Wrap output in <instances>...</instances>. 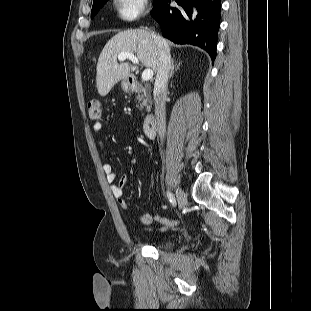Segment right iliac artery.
I'll return each instance as SVG.
<instances>
[{
	"label": "right iliac artery",
	"instance_id": "right-iliac-artery-1",
	"mask_svg": "<svg viewBox=\"0 0 311 311\" xmlns=\"http://www.w3.org/2000/svg\"><path fill=\"white\" fill-rule=\"evenodd\" d=\"M167 197H168L169 201L172 203V205H176V199L171 192H169V191L167 192Z\"/></svg>",
	"mask_w": 311,
	"mask_h": 311
}]
</instances>
